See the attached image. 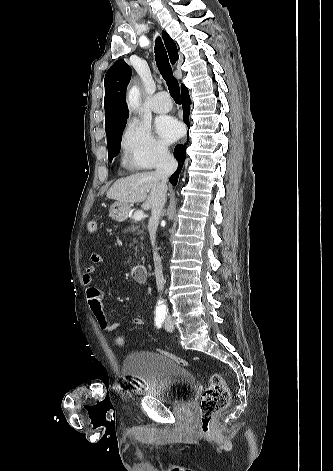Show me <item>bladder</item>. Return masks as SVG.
I'll use <instances>...</instances> for the list:
<instances>
[{"label":"bladder","mask_w":333,"mask_h":471,"mask_svg":"<svg viewBox=\"0 0 333 471\" xmlns=\"http://www.w3.org/2000/svg\"><path fill=\"white\" fill-rule=\"evenodd\" d=\"M125 376L141 381V393L167 405L189 399L197 384L193 374L172 359L153 351H137L126 356Z\"/></svg>","instance_id":"31cf9c89"}]
</instances>
